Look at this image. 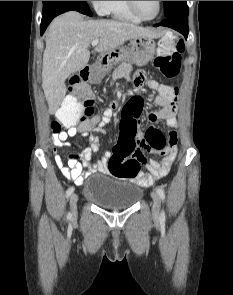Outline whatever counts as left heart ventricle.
Returning a JSON list of instances; mask_svg holds the SVG:
<instances>
[{
  "mask_svg": "<svg viewBox=\"0 0 233 295\" xmlns=\"http://www.w3.org/2000/svg\"><path fill=\"white\" fill-rule=\"evenodd\" d=\"M138 12L145 18L153 17L157 11V1H135Z\"/></svg>",
  "mask_w": 233,
  "mask_h": 295,
  "instance_id": "b2bd125f",
  "label": "left heart ventricle"
}]
</instances>
